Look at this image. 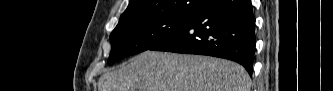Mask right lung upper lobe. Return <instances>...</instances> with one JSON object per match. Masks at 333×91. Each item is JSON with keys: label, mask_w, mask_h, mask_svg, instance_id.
Instances as JSON below:
<instances>
[{"label": "right lung upper lobe", "mask_w": 333, "mask_h": 91, "mask_svg": "<svg viewBox=\"0 0 333 91\" xmlns=\"http://www.w3.org/2000/svg\"><path fill=\"white\" fill-rule=\"evenodd\" d=\"M204 0H130L118 23L144 16L158 14L196 15L204 7L199 4Z\"/></svg>", "instance_id": "obj_1"}]
</instances>
